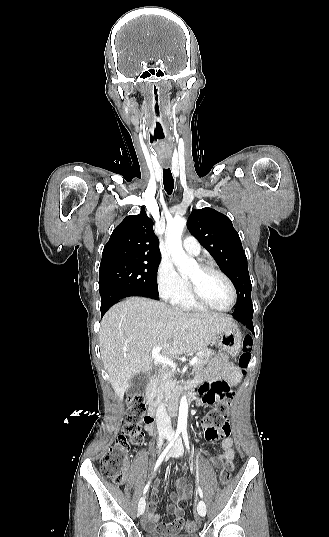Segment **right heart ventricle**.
I'll return each mask as SVG.
<instances>
[{
    "label": "right heart ventricle",
    "mask_w": 329,
    "mask_h": 537,
    "mask_svg": "<svg viewBox=\"0 0 329 537\" xmlns=\"http://www.w3.org/2000/svg\"><path fill=\"white\" fill-rule=\"evenodd\" d=\"M173 304L176 305L177 307L181 308V309H184V310H203V308L198 306L191 299L188 290L186 291V293L181 298H179L178 300L173 302Z\"/></svg>",
    "instance_id": "e07e8e85"
}]
</instances>
